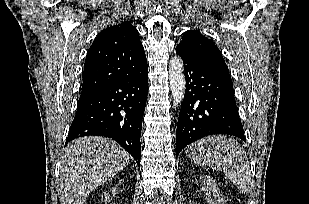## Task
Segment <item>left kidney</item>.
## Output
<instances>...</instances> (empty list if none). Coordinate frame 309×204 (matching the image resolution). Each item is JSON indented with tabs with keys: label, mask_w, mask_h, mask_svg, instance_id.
<instances>
[{
	"label": "left kidney",
	"mask_w": 309,
	"mask_h": 204,
	"mask_svg": "<svg viewBox=\"0 0 309 204\" xmlns=\"http://www.w3.org/2000/svg\"><path fill=\"white\" fill-rule=\"evenodd\" d=\"M201 190L204 191L208 204H225L226 199L210 176H200Z\"/></svg>",
	"instance_id": "left-kidney-1"
}]
</instances>
